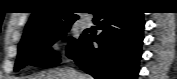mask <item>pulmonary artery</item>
Here are the masks:
<instances>
[{"label": "pulmonary artery", "mask_w": 177, "mask_h": 79, "mask_svg": "<svg viewBox=\"0 0 177 79\" xmlns=\"http://www.w3.org/2000/svg\"><path fill=\"white\" fill-rule=\"evenodd\" d=\"M81 23H82V27L83 28H87V27H89L91 25V19L88 18V17H83Z\"/></svg>", "instance_id": "obj_1"}]
</instances>
